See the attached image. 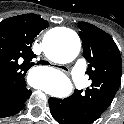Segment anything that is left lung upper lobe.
<instances>
[{
	"label": "left lung upper lobe",
	"mask_w": 124,
	"mask_h": 124,
	"mask_svg": "<svg viewBox=\"0 0 124 124\" xmlns=\"http://www.w3.org/2000/svg\"><path fill=\"white\" fill-rule=\"evenodd\" d=\"M83 56L89 62L86 74L92 84L84 93L71 95L75 113L82 124H91L110 106L119 89L122 61L119 49L106 32L86 22L78 24Z\"/></svg>",
	"instance_id": "obj_1"
}]
</instances>
